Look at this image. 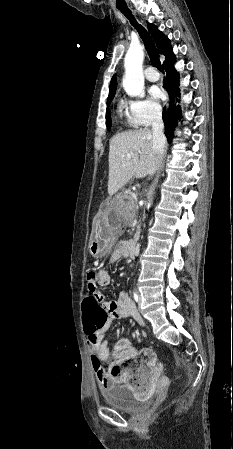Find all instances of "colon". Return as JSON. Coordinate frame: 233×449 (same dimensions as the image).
<instances>
[{
    "label": "colon",
    "mask_w": 233,
    "mask_h": 449,
    "mask_svg": "<svg viewBox=\"0 0 233 449\" xmlns=\"http://www.w3.org/2000/svg\"><path fill=\"white\" fill-rule=\"evenodd\" d=\"M93 296L94 295L85 292L82 301L79 302V309L81 310L80 317L83 319V327L105 328V318L108 315L105 313V308L93 301ZM120 344L121 342L118 343L116 347Z\"/></svg>",
    "instance_id": "1"
}]
</instances>
